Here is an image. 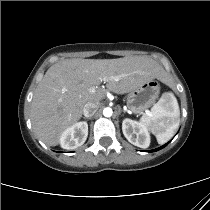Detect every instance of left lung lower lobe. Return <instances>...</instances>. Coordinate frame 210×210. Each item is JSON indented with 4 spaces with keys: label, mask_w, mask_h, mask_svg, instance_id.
Masks as SVG:
<instances>
[{
    "label": "left lung lower lobe",
    "mask_w": 210,
    "mask_h": 210,
    "mask_svg": "<svg viewBox=\"0 0 210 210\" xmlns=\"http://www.w3.org/2000/svg\"><path fill=\"white\" fill-rule=\"evenodd\" d=\"M168 143H169V142H168ZM168 143H167V144H168ZM167 144H165V145L161 146L160 148H157V149L151 150V151H149V152L158 151V150H160V149L164 148Z\"/></svg>",
    "instance_id": "left-lung-lower-lobe-1"
}]
</instances>
